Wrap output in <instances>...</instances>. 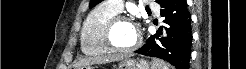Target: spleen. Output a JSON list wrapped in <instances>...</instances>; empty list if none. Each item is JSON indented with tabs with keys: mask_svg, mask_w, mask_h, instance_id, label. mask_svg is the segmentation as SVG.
<instances>
[{
	"mask_svg": "<svg viewBox=\"0 0 246 69\" xmlns=\"http://www.w3.org/2000/svg\"><path fill=\"white\" fill-rule=\"evenodd\" d=\"M152 69H169V65L160 60H154Z\"/></svg>",
	"mask_w": 246,
	"mask_h": 69,
	"instance_id": "1",
	"label": "spleen"
}]
</instances>
